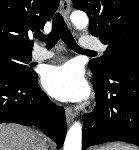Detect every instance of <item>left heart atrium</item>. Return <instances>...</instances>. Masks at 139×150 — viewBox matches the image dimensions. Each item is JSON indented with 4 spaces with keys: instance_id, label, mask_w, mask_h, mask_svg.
Segmentation results:
<instances>
[{
    "instance_id": "1",
    "label": "left heart atrium",
    "mask_w": 139,
    "mask_h": 150,
    "mask_svg": "<svg viewBox=\"0 0 139 150\" xmlns=\"http://www.w3.org/2000/svg\"><path fill=\"white\" fill-rule=\"evenodd\" d=\"M45 90L61 101H79L89 94L80 67L74 63L48 68L42 76Z\"/></svg>"
}]
</instances>
